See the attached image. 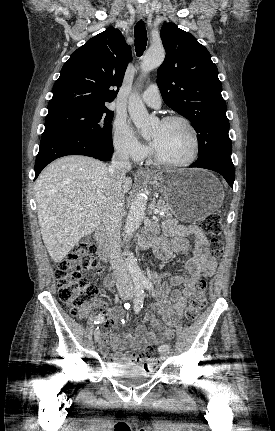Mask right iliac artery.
<instances>
[{"mask_svg":"<svg viewBox=\"0 0 275 431\" xmlns=\"http://www.w3.org/2000/svg\"><path fill=\"white\" fill-rule=\"evenodd\" d=\"M143 293H144V286L142 283H138L135 285V297H134V311L135 313H138L140 311V309L143 307ZM104 316H102L101 314L97 315L94 323L96 325L98 324H102L104 322ZM98 329V327H97ZM96 329V330H97Z\"/></svg>","mask_w":275,"mask_h":431,"instance_id":"right-iliac-artery-1","label":"right iliac artery"}]
</instances>
